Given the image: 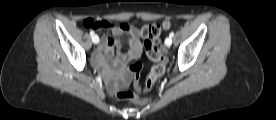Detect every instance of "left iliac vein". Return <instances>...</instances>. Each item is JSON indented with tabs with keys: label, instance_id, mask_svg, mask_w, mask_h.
<instances>
[{
	"label": "left iliac vein",
	"instance_id": "1",
	"mask_svg": "<svg viewBox=\"0 0 276 120\" xmlns=\"http://www.w3.org/2000/svg\"><path fill=\"white\" fill-rule=\"evenodd\" d=\"M165 44H166V46H168V47L171 46V44H172V39H171V37L166 38Z\"/></svg>",
	"mask_w": 276,
	"mask_h": 120
}]
</instances>
